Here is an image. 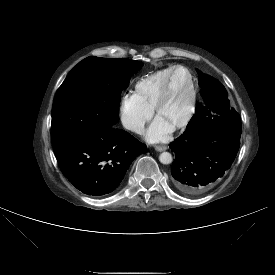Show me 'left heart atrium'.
I'll use <instances>...</instances> for the list:
<instances>
[{"label":"left heart atrium","mask_w":275,"mask_h":275,"mask_svg":"<svg viewBox=\"0 0 275 275\" xmlns=\"http://www.w3.org/2000/svg\"><path fill=\"white\" fill-rule=\"evenodd\" d=\"M172 127L160 118H156L145 131V139L150 143L164 142L169 138Z\"/></svg>","instance_id":"1"}]
</instances>
